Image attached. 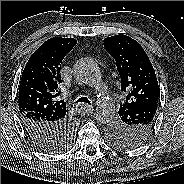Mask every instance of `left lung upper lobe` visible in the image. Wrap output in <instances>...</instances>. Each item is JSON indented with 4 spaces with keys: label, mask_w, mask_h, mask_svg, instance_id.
Wrapping results in <instances>:
<instances>
[{
    "label": "left lung upper lobe",
    "mask_w": 184,
    "mask_h": 184,
    "mask_svg": "<svg viewBox=\"0 0 184 184\" xmlns=\"http://www.w3.org/2000/svg\"><path fill=\"white\" fill-rule=\"evenodd\" d=\"M104 47L116 60L121 90L128 92L119 117L108 128V138L119 149L144 142L156 120L159 86L153 66L141 45L126 35L104 39Z\"/></svg>",
    "instance_id": "left-lung-upper-lobe-1"
}]
</instances>
